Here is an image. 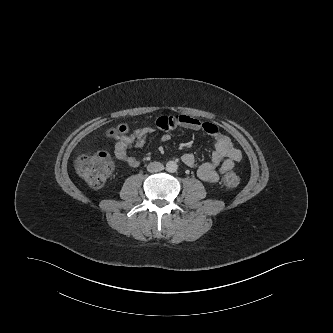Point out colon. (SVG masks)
Here are the masks:
<instances>
[{"label":"colon","mask_w":333,"mask_h":333,"mask_svg":"<svg viewBox=\"0 0 333 333\" xmlns=\"http://www.w3.org/2000/svg\"><path fill=\"white\" fill-rule=\"evenodd\" d=\"M127 125H119L109 131L110 135L127 132ZM113 164L110 155L101 151L90 155H81L76 160L77 173L94 188L101 187L112 172ZM239 183L237 174L230 172L224 176L223 184L235 188Z\"/></svg>","instance_id":"1"}]
</instances>
